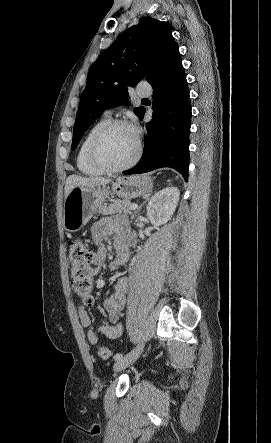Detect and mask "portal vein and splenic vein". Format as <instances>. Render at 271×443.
Returning a JSON list of instances; mask_svg holds the SVG:
<instances>
[{"mask_svg": "<svg viewBox=\"0 0 271 443\" xmlns=\"http://www.w3.org/2000/svg\"><path fill=\"white\" fill-rule=\"evenodd\" d=\"M137 208V204H132V206H130V210H137Z\"/></svg>", "mask_w": 271, "mask_h": 443, "instance_id": "18ae733b", "label": "portal vein and splenic vein"}]
</instances>
